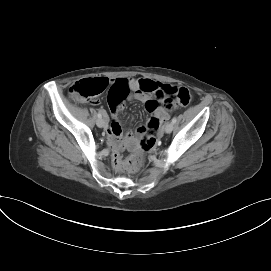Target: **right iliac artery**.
<instances>
[{
    "label": "right iliac artery",
    "mask_w": 271,
    "mask_h": 271,
    "mask_svg": "<svg viewBox=\"0 0 271 271\" xmlns=\"http://www.w3.org/2000/svg\"><path fill=\"white\" fill-rule=\"evenodd\" d=\"M97 116H98V118H102V114L101 113H98Z\"/></svg>",
    "instance_id": "82829eb1"
}]
</instances>
